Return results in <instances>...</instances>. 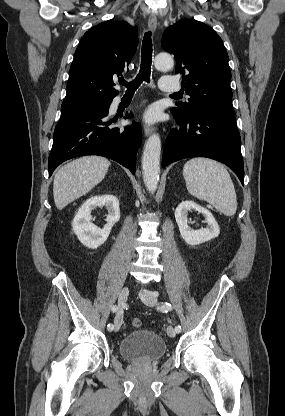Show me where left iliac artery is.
Here are the masks:
<instances>
[{
  "label": "left iliac artery",
  "mask_w": 285,
  "mask_h": 416,
  "mask_svg": "<svg viewBox=\"0 0 285 416\" xmlns=\"http://www.w3.org/2000/svg\"><path fill=\"white\" fill-rule=\"evenodd\" d=\"M157 295V294H156ZM172 309V306H171V304L170 303H168V302H164V303H162L161 304V306L160 307H158V310H160V311H162V312H168V311H170ZM175 331L177 332V333H180L181 332V326L180 325H178V326H176L175 327Z\"/></svg>",
  "instance_id": "left-iliac-artery-1"
}]
</instances>
